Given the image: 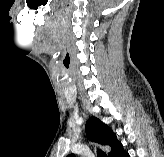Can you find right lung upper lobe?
I'll use <instances>...</instances> for the list:
<instances>
[{
	"label": "right lung upper lobe",
	"instance_id": "cb5924a9",
	"mask_svg": "<svg viewBox=\"0 0 164 157\" xmlns=\"http://www.w3.org/2000/svg\"><path fill=\"white\" fill-rule=\"evenodd\" d=\"M86 135L90 140L96 141L101 145H108L111 147V152L108 157H112L116 148L120 145L116 134L102 121L96 117H91L86 123ZM67 157H75L70 154Z\"/></svg>",
	"mask_w": 164,
	"mask_h": 157
}]
</instances>
